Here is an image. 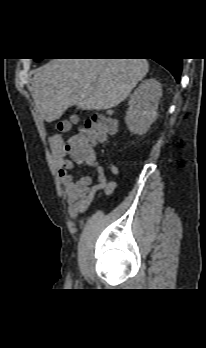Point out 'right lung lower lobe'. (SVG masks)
<instances>
[{"label":"right lung lower lobe","mask_w":206,"mask_h":348,"mask_svg":"<svg viewBox=\"0 0 206 348\" xmlns=\"http://www.w3.org/2000/svg\"><path fill=\"white\" fill-rule=\"evenodd\" d=\"M166 69H168L172 75L175 77L176 81H180L181 71H182V59H159L156 60Z\"/></svg>","instance_id":"right-lung-lower-lobe-1"}]
</instances>
